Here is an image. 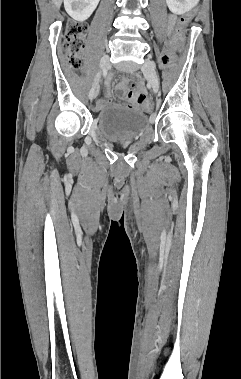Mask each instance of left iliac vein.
<instances>
[{
	"label": "left iliac vein",
	"instance_id": "1",
	"mask_svg": "<svg viewBox=\"0 0 241 379\" xmlns=\"http://www.w3.org/2000/svg\"><path fill=\"white\" fill-rule=\"evenodd\" d=\"M141 70L149 79L151 86H152V89H153V92L157 93L159 90V78H158V75L156 73L154 61H152L150 59H145Z\"/></svg>",
	"mask_w": 241,
	"mask_h": 379
}]
</instances>
